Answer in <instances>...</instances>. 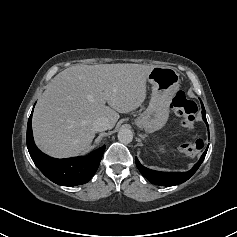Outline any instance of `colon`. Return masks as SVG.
<instances>
[{
  "instance_id": "colon-1",
  "label": "colon",
  "mask_w": 237,
  "mask_h": 237,
  "mask_svg": "<svg viewBox=\"0 0 237 237\" xmlns=\"http://www.w3.org/2000/svg\"><path fill=\"white\" fill-rule=\"evenodd\" d=\"M170 108L171 111L181 119L180 126L182 128L188 129L193 126L198 107L194 101L187 98L184 92L179 91L175 94L171 101ZM203 148L204 143L201 139L186 143L182 146L183 151L189 154H198Z\"/></svg>"
}]
</instances>
